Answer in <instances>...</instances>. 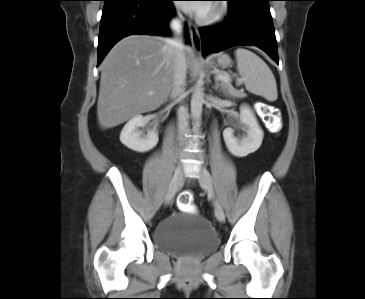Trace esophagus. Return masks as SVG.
I'll use <instances>...</instances> for the list:
<instances>
[{"label": "esophagus", "instance_id": "1", "mask_svg": "<svg viewBox=\"0 0 365 299\" xmlns=\"http://www.w3.org/2000/svg\"><path fill=\"white\" fill-rule=\"evenodd\" d=\"M189 32H190V38H191L193 48L197 52L201 51L202 42H201V37H200L197 27L195 25L189 23Z\"/></svg>", "mask_w": 365, "mask_h": 299}]
</instances>
